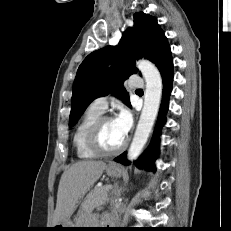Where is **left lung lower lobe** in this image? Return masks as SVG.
Returning a JSON list of instances; mask_svg holds the SVG:
<instances>
[{"mask_svg": "<svg viewBox=\"0 0 231 231\" xmlns=\"http://www.w3.org/2000/svg\"><path fill=\"white\" fill-rule=\"evenodd\" d=\"M153 63L158 67L162 79H163V98L159 110V116L155 127L154 135L149 148L143 155L139 157L134 164L139 168H145L147 170L155 171L154 161L158 154L159 149V136L161 127L166 121V111L168 110V99L172 90L173 81V60L171 57V50L167 40L161 45L159 51L154 57ZM114 161L119 162L123 165H128L129 162L126 160V152L116 157Z\"/></svg>", "mask_w": 231, "mask_h": 231, "instance_id": "0a47b994", "label": "left lung lower lobe"}]
</instances>
